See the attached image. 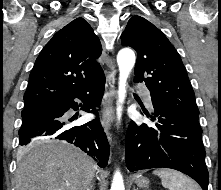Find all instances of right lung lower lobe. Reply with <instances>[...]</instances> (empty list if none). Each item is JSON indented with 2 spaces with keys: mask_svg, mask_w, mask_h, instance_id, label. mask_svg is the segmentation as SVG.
I'll list each match as a JSON object with an SVG mask.
<instances>
[{
  "mask_svg": "<svg viewBox=\"0 0 221 190\" xmlns=\"http://www.w3.org/2000/svg\"><path fill=\"white\" fill-rule=\"evenodd\" d=\"M104 86L103 75L86 88L67 95L24 118L19 130V144L27 145L37 137L66 140L98 161L100 167L105 168L109 159V144L100 121L94 119L86 124L74 126L72 122L77 117L70 118L67 114L70 108L78 109L75 98L84 102L82 110L96 113L95 107L101 102Z\"/></svg>",
  "mask_w": 221,
  "mask_h": 190,
  "instance_id": "right-lung-lower-lobe-1",
  "label": "right lung lower lobe"
}]
</instances>
